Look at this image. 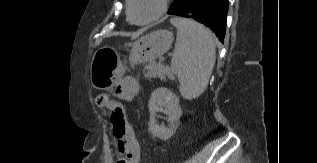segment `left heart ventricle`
Listing matches in <instances>:
<instances>
[{
    "label": "left heart ventricle",
    "mask_w": 317,
    "mask_h": 163,
    "mask_svg": "<svg viewBox=\"0 0 317 163\" xmlns=\"http://www.w3.org/2000/svg\"><path fill=\"white\" fill-rule=\"evenodd\" d=\"M159 9V0H133L132 16L135 20L143 21L154 16Z\"/></svg>",
    "instance_id": "obj_1"
}]
</instances>
